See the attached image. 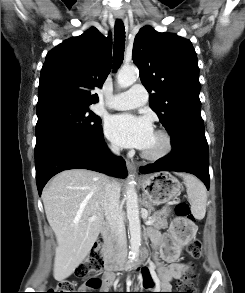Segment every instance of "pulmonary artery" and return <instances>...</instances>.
<instances>
[{
  "label": "pulmonary artery",
  "mask_w": 245,
  "mask_h": 293,
  "mask_svg": "<svg viewBox=\"0 0 245 293\" xmlns=\"http://www.w3.org/2000/svg\"><path fill=\"white\" fill-rule=\"evenodd\" d=\"M148 94L144 86L136 84L128 91L114 95L109 102V107L115 110L134 109L146 104Z\"/></svg>",
  "instance_id": "pulmonary-artery-1"
}]
</instances>
